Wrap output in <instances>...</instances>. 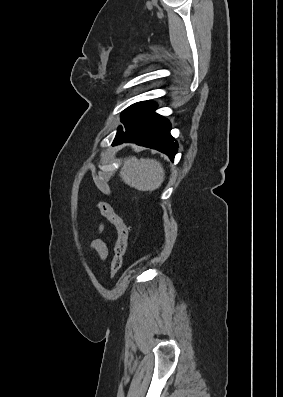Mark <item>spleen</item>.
<instances>
[{
	"label": "spleen",
	"instance_id": "spleen-1",
	"mask_svg": "<svg viewBox=\"0 0 283 397\" xmlns=\"http://www.w3.org/2000/svg\"><path fill=\"white\" fill-rule=\"evenodd\" d=\"M120 177L125 184L139 191H154L163 183L165 171L157 160L132 156L123 162Z\"/></svg>",
	"mask_w": 283,
	"mask_h": 397
}]
</instances>
